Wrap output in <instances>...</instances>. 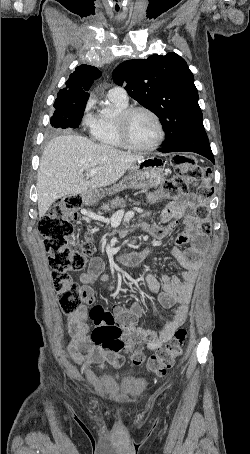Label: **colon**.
I'll return each mask as SVG.
<instances>
[{
    "mask_svg": "<svg viewBox=\"0 0 250 454\" xmlns=\"http://www.w3.org/2000/svg\"><path fill=\"white\" fill-rule=\"evenodd\" d=\"M172 162L177 173L151 193L149 199L176 200L187 193L193 181H200L194 217L198 221L199 230L209 235L212 227L208 202L214 193L211 185L212 169L199 166L194 157L185 154L174 155ZM82 203V197L76 194L59 199L39 223V231L44 239L51 276L57 291L58 304L67 314H73L81 307L80 290L70 273L84 270L88 258L94 252L90 236H87L79 246L72 241L74 224ZM89 316L95 325L91 334V340L95 344L113 353L122 351L131 353L134 364H145L148 371L158 376L173 367L183 353V344L187 336L185 329H178L170 342L145 361L141 352L142 335L135 327L136 320L132 316L124 314L116 317L100 305L93 306Z\"/></svg>",
    "mask_w": 250,
    "mask_h": 454,
    "instance_id": "1",
    "label": "colon"
}]
</instances>
